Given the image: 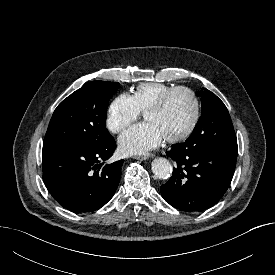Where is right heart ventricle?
<instances>
[{
  "label": "right heart ventricle",
  "mask_w": 275,
  "mask_h": 275,
  "mask_svg": "<svg viewBox=\"0 0 275 275\" xmlns=\"http://www.w3.org/2000/svg\"><path fill=\"white\" fill-rule=\"evenodd\" d=\"M171 88L172 86L164 83H142L132 90L131 97L137 109L140 112H145L151 104H153L163 93Z\"/></svg>",
  "instance_id": "e07e8e85"
}]
</instances>
